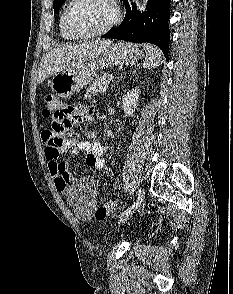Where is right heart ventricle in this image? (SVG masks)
Returning <instances> with one entry per match:
<instances>
[{
    "instance_id": "1",
    "label": "right heart ventricle",
    "mask_w": 233,
    "mask_h": 294,
    "mask_svg": "<svg viewBox=\"0 0 233 294\" xmlns=\"http://www.w3.org/2000/svg\"><path fill=\"white\" fill-rule=\"evenodd\" d=\"M63 14H64V11L62 12V14L60 16V20H59L60 35L62 38L66 39V40H74L75 38L73 36H71L64 28Z\"/></svg>"
}]
</instances>
